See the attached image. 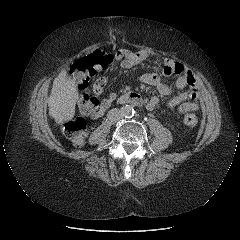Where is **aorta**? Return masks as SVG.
I'll list each match as a JSON object with an SVG mask.
<instances>
[{
  "mask_svg": "<svg viewBox=\"0 0 240 240\" xmlns=\"http://www.w3.org/2000/svg\"><path fill=\"white\" fill-rule=\"evenodd\" d=\"M123 117H132L135 113L134 108L131 105H125L120 109Z\"/></svg>",
  "mask_w": 240,
  "mask_h": 240,
  "instance_id": "1",
  "label": "aorta"
}]
</instances>
